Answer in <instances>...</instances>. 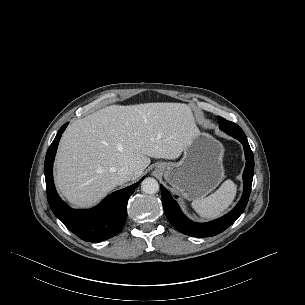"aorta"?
<instances>
[{
    "instance_id": "1",
    "label": "aorta",
    "mask_w": 305,
    "mask_h": 305,
    "mask_svg": "<svg viewBox=\"0 0 305 305\" xmlns=\"http://www.w3.org/2000/svg\"><path fill=\"white\" fill-rule=\"evenodd\" d=\"M141 189L146 194H155L159 191V184L156 179L148 177L142 181Z\"/></svg>"
}]
</instances>
